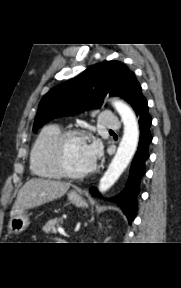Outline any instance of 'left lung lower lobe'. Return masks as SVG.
Returning <instances> with one entry per match:
<instances>
[{
    "instance_id": "0a47b994",
    "label": "left lung lower lobe",
    "mask_w": 181,
    "mask_h": 288,
    "mask_svg": "<svg viewBox=\"0 0 181 288\" xmlns=\"http://www.w3.org/2000/svg\"><path fill=\"white\" fill-rule=\"evenodd\" d=\"M131 105L139 119V146L132 161L130 176L126 187L118 195L111 198V201L120 206L124 214L127 216L129 223H131L136 216V196L139 193L140 179L145 173V161L149 157L148 146L152 141V136L150 133L152 118L148 113V104L142 95L141 89L134 96ZM90 192L93 195L101 197L95 188H91Z\"/></svg>"
}]
</instances>
